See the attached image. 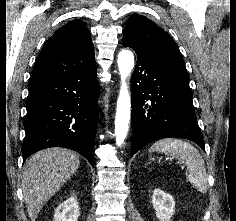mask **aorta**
Listing matches in <instances>:
<instances>
[{
    "label": "aorta",
    "instance_id": "762f6f07",
    "mask_svg": "<svg viewBox=\"0 0 236 221\" xmlns=\"http://www.w3.org/2000/svg\"><path fill=\"white\" fill-rule=\"evenodd\" d=\"M117 63L121 77V87L117 100V111L115 116V136L116 144L121 146L128 134L131 115V100L127 78L134 68L133 53L130 50L120 51Z\"/></svg>",
    "mask_w": 236,
    "mask_h": 221
}]
</instances>
